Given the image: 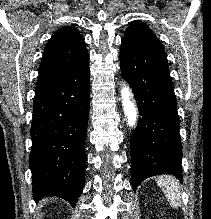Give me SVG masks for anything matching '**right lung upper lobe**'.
I'll list each match as a JSON object with an SVG mask.
<instances>
[{
	"mask_svg": "<svg viewBox=\"0 0 211 219\" xmlns=\"http://www.w3.org/2000/svg\"><path fill=\"white\" fill-rule=\"evenodd\" d=\"M87 60V49L79 30L73 26L61 28L45 47L36 90L53 84Z\"/></svg>",
	"mask_w": 211,
	"mask_h": 219,
	"instance_id": "obj_1",
	"label": "right lung upper lobe"
}]
</instances>
